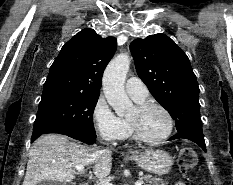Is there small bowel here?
I'll use <instances>...</instances> for the list:
<instances>
[{"mask_svg": "<svg viewBox=\"0 0 233 185\" xmlns=\"http://www.w3.org/2000/svg\"><path fill=\"white\" fill-rule=\"evenodd\" d=\"M174 185H186V184L184 182H182V181H178Z\"/></svg>", "mask_w": 233, "mask_h": 185, "instance_id": "obj_1", "label": "small bowel"}]
</instances>
